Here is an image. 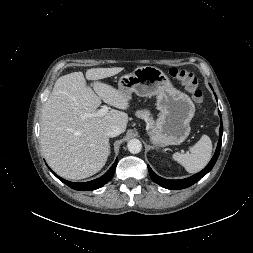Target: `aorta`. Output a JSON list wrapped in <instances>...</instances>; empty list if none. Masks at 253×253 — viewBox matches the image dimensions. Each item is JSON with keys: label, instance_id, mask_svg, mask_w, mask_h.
<instances>
[{"label": "aorta", "instance_id": "obj_1", "mask_svg": "<svg viewBox=\"0 0 253 253\" xmlns=\"http://www.w3.org/2000/svg\"><path fill=\"white\" fill-rule=\"evenodd\" d=\"M128 151L132 154H137L142 150V143L138 139H131L127 143Z\"/></svg>", "mask_w": 253, "mask_h": 253}]
</instances>
